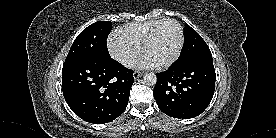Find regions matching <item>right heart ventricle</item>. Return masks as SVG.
Wrapping results in <instances>:
<instances>
[{"instance_id":"obj_1","label":"right heart ventricle","mask_w":276,"mask_h":138,"mask_svg":"<svg viewBox=\"0 0 276 138\" xmlns=\"http://www.w3.org/2000/svg\"><path fill=\"white\" fill-rule=\"evenodd\" d=\"M162 20L163 19H153L131 23L121 28L117 32V35L140 49L151 30Z\"/></svg>"}]
</instances>
